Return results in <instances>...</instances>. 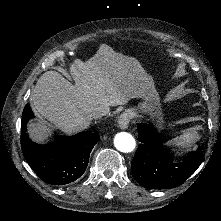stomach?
<instances>
[{
	"label": "stomach",
	"mask_w": 221,
	"mask_h": 221,
	"mask_svg": "<svg viewBox=\"0 0 221 221\" xmlns=\"http://www.w3.org/2000/svg\"><path fill=\"white\" fill-rule=\"evenodd\" d=\"M152 104L150 103V96H145L138 103V105L132 109H130L127 113L129 118L137 117L144 114L149 116L148 120L157 128L158 131L164 128V118L160 109H152L150 107Z\"/></svg>",
	"instance_id": "obj_1"
}]
</instances>
